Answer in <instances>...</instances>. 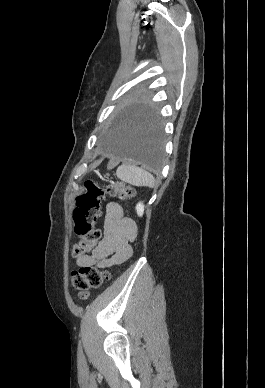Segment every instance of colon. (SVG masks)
<instances>
[{
	"mask_svg": "<svg viewBox=\"0 0 265 388\" xmlns=\"http://www.w3.org/2000/svg\"><path fill=\"white\" fill-rule=\"evenodd\" d=\"M107 196H116L128 201L134 196L131 187L120 183L97 185L87 182L85 190L76 197V207L73 211L74 233L79 238L72 249V255L79 257L93 249L100 238L96 222L101 214V203ZM111 276L107 270L83 266L71 274L72 286L80 299L86 300L89 290L100 287Z\"/></svg>",
	"mask_w": 265,
	"mask_h": 388,
	"instance_id": "5ec220e1",
	"label": "colon"
}]
</instances>
